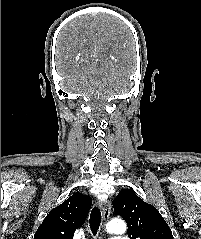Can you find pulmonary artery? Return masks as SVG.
I'll use <instances>...</instances> for the list:
<instances>
[{
    "instance_id": "1",
    "label": "pulmonary artery",
    "mask_w": 201,
    "mask_h": 239,
    "mask_svg": "<svg viewBox=\"0 0 201 239\" xmlns=\"http://www.w3.org/2000/svg\"><path fill=\"white\" fill-rule=\"evenodd\" d=\"M110 239H129L127 236H114Z\"/></svg>"
}]
</instances>
